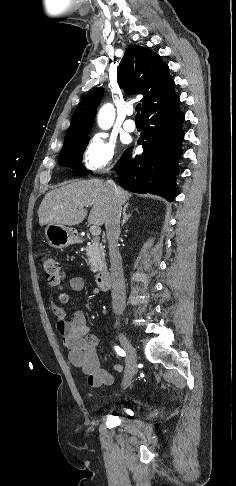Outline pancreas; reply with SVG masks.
Wrapping results in <instances>:
<instances>
[{"label":"pancreas","mask_w":236,"mask_h":486,"mask_svg":"<svg viewBox=\"0 0 236 486\" xmlns=\"http://www.w3.org/2000/svg\"><path fill=\"white\" fill-rule=\"evenodd\" d=\"M85 250L88 256L90 270L94 273L104 271L106 269L105 250L104 246L100 244L99 239L93 238L91 244Z\"/></svg>","instance_id":"pancreas-1"}]
</instances>
